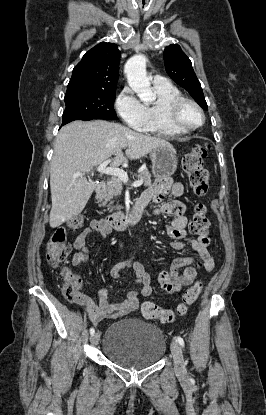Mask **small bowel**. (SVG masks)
<instances>
[{
	"instance_id": "small-bowel-1",
	"label": "small bowel",
	"mask_w": 266,
	"mask_h": 415,
	"mask_svg": "<svg viewBox=\"0 0 266 415\" xmlns=\"http://www.w3.org/2000/svg\"><path fill=\"white\" fill-rule=\"evenodd\" d=\"M183 192L184 186L182 183L174 182L171 178L165 177L157 180L145 190L138 201L146 206L151 202L157 203L162 201L166 195L179 197ZM185 212V204L178 200L166 202L154 211L155 214H166L173 217L166 228L167 234L174 240L171 244L172 248L182 250L189 246L198 255L197 257L177 259L172 263L170 270H164L160 273L158 281L166 294L180 292L185 286L190 285L196 280L200 271L210 272L214 268V259L208 249L210 242L208 236L198 237L197 239H185V228L187 225ZM109 232L110 228L105 225L103 220L92 221L74 241L73 245L76 253H74L71 260L72 266L88 262L89 257L86 241L91 234L97 233L102 237H106ZM125 267L133 269L136 275V282L140 286V293L143 296H149L152 293L150 276L145 272L141 264L131 261L118 263L111 269V276L118 278L121 270ZM181 268H184L182 273H180ZM74 277L78 293L72 302L84 308L94 324H98L104 319L121 318L135 311L139 306L138 292L136 290H130L125 298L118 303H110L108 292L106 290H100L98 293L99 304L96 305L90 297L79 291L82 285L81 278L76 274H74Z\"/></svg>"
}]
</instances>
